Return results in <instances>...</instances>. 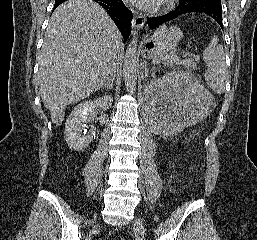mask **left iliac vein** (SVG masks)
<instances>
[{
    "instance_id": "obj_1",
    "label": "left iliac vein",
    "mask_w": 257,
    "mask_h": 240,
    "mask_svg": "<svg viewBox=\"0 0 257 240\" xmlns=\"http://www.w3.org/2000/svg\"><path fill=\"white\" fill-rule=\"evenodd\" d=\"M134 226L142 235L145 234V228L139 219L135 220Z\"/></svg>"
}]
</instances>
